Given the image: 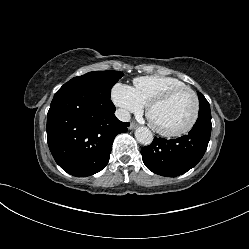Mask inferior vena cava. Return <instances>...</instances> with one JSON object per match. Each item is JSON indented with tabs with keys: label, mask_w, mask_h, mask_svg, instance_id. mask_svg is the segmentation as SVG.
Wrapping results in <instances>:
<instances>
[{
	"label": "inferior vena cava",
	"mask_w": 249,
	"mask_h": 249,
	"mask_svg": "<svg viewBox=\"0 0 249 249\" xmlns=\"http://www.w3.org/2000/svg\"><path fill=\"white\" fill-rule=\"evenodd\" d=\"M116 117L123 122H128L131 118L130 113L125 109H117L115 112Z\"/></svg>",
	"instance_id": "602c4592"
}]
</instances>
